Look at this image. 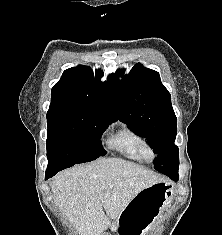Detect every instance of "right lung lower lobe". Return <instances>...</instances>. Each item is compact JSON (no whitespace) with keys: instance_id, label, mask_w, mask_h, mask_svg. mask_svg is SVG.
Here are the masks:
<instances>
[{"instance_id":"obj_1","label":"right lung lower lobe","mask_w":222,"mask_h":235,"mask_svg":"<svg viewBox=\"0 0 222 235\" xmlns=\"http://www.w3.org/2000/svg\"><path fill=\"white\" fill-rule=\"evenodd\" d=\"M57 172H52V173H46L45 179L51 178L54 176Z\"/></svg>"}]
</instances>
